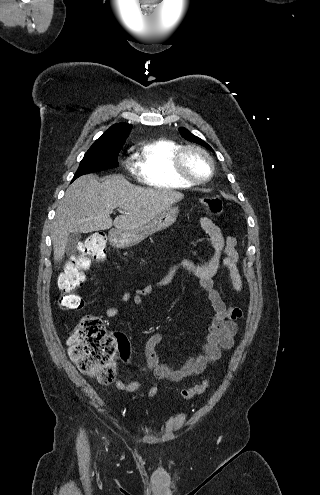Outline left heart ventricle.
Returning a JSON list of instances; mask_svg holds the SVG:
<instances>
[{
	"instance_id": "left-heart-ventricle-1",
	"label": "left heart ventricle",
	"mask_w": 320,
	"mask_h": 495,
	"mask_svg": "<svg viewBox=\"0 0 320 495\" xmlns=\"http://www.w3.org/2000/svg\"><path fill=\"white\" fill-rule=\"evenodd\" d=\"M186 171L195 177H205L209 172V165L206 159L199 153L190 151L184 157Z\"/></svg>"
}]
</instances>
